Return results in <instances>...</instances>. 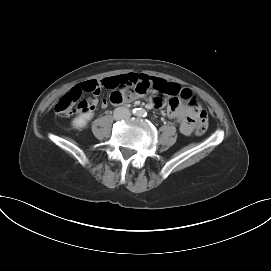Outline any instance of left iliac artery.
I'll list each match as a JSON object with an SVG mask.
<instances>
[{
  "instance_id": "1",
  "label": "left iliac artery",
  "mask_w": 271,
  "mask_h": 271,
  "mask_svg": "<svg viewBox=\"0 0 271 271\" xmlns=\"http://www.w3.org/2000/svg\"><path fill=\"white\" fill-rule=\"evenodd\" d=\"M139 116L145 117L146 116V111L144 109L140 110Z\"/></svg>"
}]
</instances>
